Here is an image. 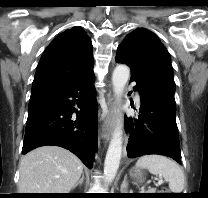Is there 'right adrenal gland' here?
Returning <instances> with one entry per match:
<instances>
[{
    "mask_svg": "<svg viewBox=\"0 0 208 198\" xmlns=\"http://www.w3.org/2000/svg\"><path fill=\"white\" fill-rule=\"evenodd\" d=\"M83 181H84V172L82 173L81 178H80L79 181L74 185L73 188L75 189L78 185H82Z\"/></svg>",
    "mask_w": 208,
    "mask_h": 198,
    "instance_id": "obj_1",
    "label": "right adrenal gland"
}]
</instances>
